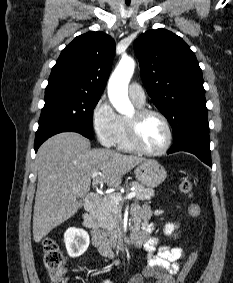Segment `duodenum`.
Listing matches in <instances>:
<instances>
[{"instance_id":"duodenum-1","label":"duodenum","mask_w":233,"mask_h":283,"mask_svg":"<svg viewBox=\"0 0 233 283\" xmlns=\"http://www.w3.org/2000/svg\"><path fill=\"white\" fill-rule=\"evenodd\" d=\"M100 204H101V200L96 195L91 194L86 198V202L84 206V214H83V224L92 232L101 234V237L103 239V244L105 246L110 247L111 241L101 231L100 224L97 218V211L100 207ZM144 239H145L144 233L140 229L135 228L130 234L129 245H128L129 248L131 249L140 248Z\"/></svg>"}]
</instances>
